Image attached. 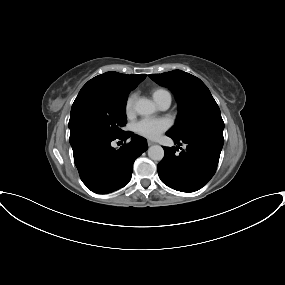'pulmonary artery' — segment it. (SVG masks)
<instances>
[{"instance_id":"obj_1","label":"pulmonary artery","mask_w":285,"mask_h":285,"mask_svg":"<svg viewBox=\"0 0 285 285\" xmlns=\"http://www.w3.org/2000/svg\"><path fill=\"white\" fill-rule=\"evenodd\" d=\"M158 106L165 110L167 108H169L170 104H171V96H165L163 97L161 100H159L157 102Z\"/></svg>"}]
</instances>
